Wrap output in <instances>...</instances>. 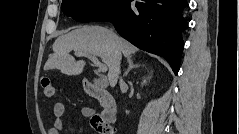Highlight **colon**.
I'll return each instance as SVG.
<instances>
[{"instance_id": "5ec220e1", "label": "colon", "mask_w": 239, "mask_h": 134, "mask_svg": "<svg viewBox=\"0 0 239 134\" xmlns=\"http://www.w3.org/2000/svg\"><path fill=\"white\" fill-rule=\"evenodd\" d=\"M41 89L43 94L48 97L52 98L56 96L57 89L50 77L44 76L41 79ZM91 123L93 128L99 134H114L115 130L111 124L106 122L101 116L95 115L91 119Z\"/></svg>"}]
</instances>
